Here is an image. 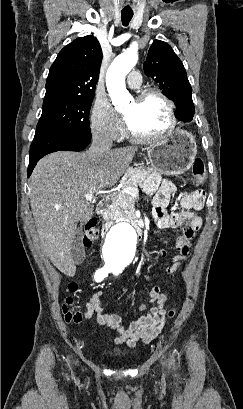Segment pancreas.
Returning a JSON list of instances; mask_svg holds the SVG:
<instances>
[{"label": "pancreas", "instance_id": "obj_1", "mask_svg": "<svg viewBox=\"0 0 243 409\" xmlns=\"http://www.w3.org/2000/svg\"><path fill=\"white\" fill-rule=\"evenodd\" d=\"M150 171L151 170L148 168H129L121 180L122 188H145ZM123 189L116 195L117 202L111 205L103 213V218L105 220L117 221L135 218L134 200L132 196L126 193Z\"/></svg>", "mask_w": 243, "mask_h": 409}]
</instances>
